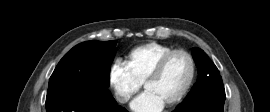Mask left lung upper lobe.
Instances as JSON below:
<instances>
[{
	"label": "left lung upper lobe",
	"instance_id": "5c2ea615",
	"mask_svg": "<svg viewBox=\"0 0 270 112\" xmlns=\"http://www.w3.org/2000/svg\"><path fill=\"white\" fill-rule=\"evenodd\" d=\"M192 55L198 67L199 76L183 102L196 101L215 88L224 89L220 73L207 54L199 48H192Z\"/></svg>",
	"mask_w": 270,
	"mask_h": 112
}]
</instances>
